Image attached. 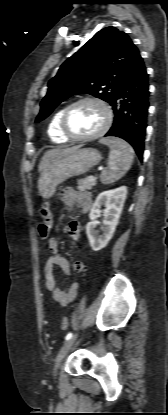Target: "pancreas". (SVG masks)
I'll return each instance as SVG.
<instances>
[{
    "mask_svg": "<svg viewBox=\"0 0 168 415\" xmlns=\"http://www.w3.org/2000/svg\"><path fill=\"white\" fill-rule=\"evenodd\" d=\"M78 189L79 190H91L93 186L96 185V178L90 179L89 177L78 180Z\"/></svg>",
    "mask_w": 168,
    "mask_h": 415,
    "instance_id": "1",
    "label": "pancreas"
}]
</instances>
